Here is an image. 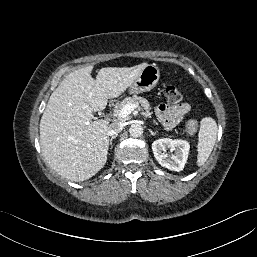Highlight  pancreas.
I'll return each instance as SVG.
<instances>
[{
  "label": "pancreas",
  "instance_id": "cf45deb5",
  "mask_svg": "<svg viewBox=\"0 0 257 257\" xmlns=\"http://www.w3.org/2000/svg\"><path fill=\"white\" fill-rule=\"evenodd\" d=\"M140 104L146 111L145 115L149 118H151V115H152V112L150 111L151 110V107H150V104L148 102V100H146L145 98L143 97H139L137 95H133V97H127L125 98L123 101H121L120 103L117 104V106L115 107L114 109V114L121 118L120 117V111L122 110V108L126 105V104Z\"/></svg>",
  "mask_w": 257,
  "mask_h": 257
}]
</instances>
